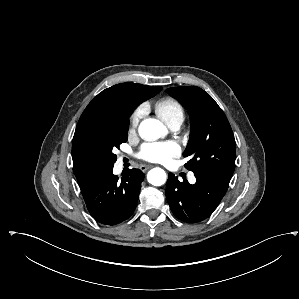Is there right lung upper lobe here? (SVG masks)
Returning <instances> with one entry per match:
<instances>
[{"label": "right lung upper lobe", "mask_w": 299, "mask_h": 299, "mask_svg": "<svg viewBox=\"0 0 299 299\" xmlns=\"http://www.w3.org/2000/svg\"><path fill=\"white\" fill-rule=\"evenodd\" d=\"M161 89L159 86L121 83L103 90L82 113L75 130L73 143L101 124L106 118L120 113H132L141 102L153 97Z\"/></svg>", "instance_id": "cb5924a9"}]
</instances>
